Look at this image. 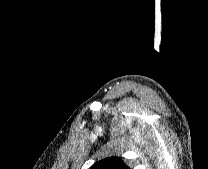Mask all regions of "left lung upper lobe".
I'll use <instances>...</instances> for the list:
<instances>
[{"mask_svg": "<svg viewBox=\"0 0 208 169\" xmlns=\"http://www.w3.org/2000/svg\"><path fill=\"white\" fill-rule=\"evenodd\" d=\"M90 169H129V167L121 158L112 156L94 163Z\"/></svg>", "mask_w": 208, "mask_h": 169, "instance_id": "1", "label": "left lung upper lobe"}]
</instances>
